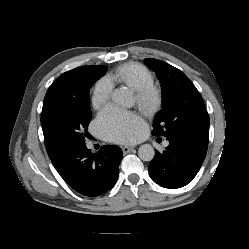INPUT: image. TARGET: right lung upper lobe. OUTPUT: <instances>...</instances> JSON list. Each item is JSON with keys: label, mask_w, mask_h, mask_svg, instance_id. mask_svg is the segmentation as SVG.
I'll list each match as a JSON object with an SVG mask.
<instances>
[{"label": "right lung upper lobe", "mask_w": 249, "mask_h": 249, "mask_svg": "<svg viewBox=\"0 0 249 249\" xmlns=\"http://www.w3.org/2000/svg\"><path fill=\"white\" fill-rule=\"evenodd\" d=\"M84 72V67H78L63 73L48 89L44 102L42 114L54 106L62 94L70 91L72 85L79 80ZM48 153L52 149H46Z\"/></svg>", "instance_id": "right-lung-upper-lobe-1"}]
</instances>
